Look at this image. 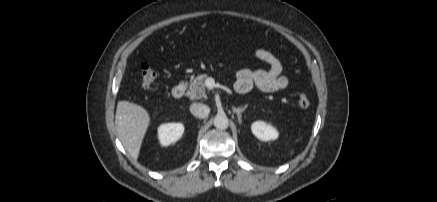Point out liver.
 Returning <instances> with one entry per match:
<instances>
[{
  "instance_id": "obj_1",
  "label": "liver",
  "mask_w": 437,
  "mask_h": 202,
  "mask_svg": "<svg viewBox=\"0 0 437 202\" xmlns=\"http://www.w3.org/2000/svg\"><path fill=\"white\" fill-rule=\"evenodd\" d=\"M150 124L148 111L129 101H118L115 125L117 136L130 156L137 160Z\"/></svg>"
}]
</instances>
